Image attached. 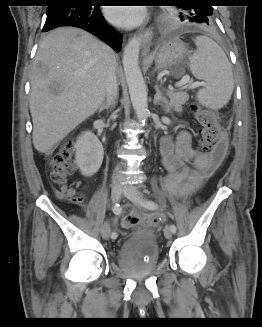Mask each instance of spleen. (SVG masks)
<instances>
[{"mask_svg": "<svg viewBox=\"0 0 262 327\" xmlns=\"http://www.w3.org/2000/svg\"><path fill=\"white\" fill-rule=\"evenodd\" d=\"M196 51L189 58L192 74L206 85L197 93L199 103L213 110L224 107L231 98L234 79L231 65L221 47L207 36L195 38Z\"/></svg>", "mask_w": 262, "mask_h": 327, "instance_id": "1", "label": "spleen"}]
</instances>
